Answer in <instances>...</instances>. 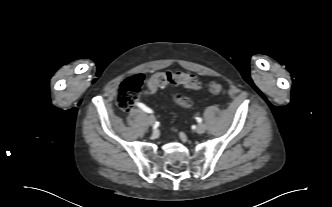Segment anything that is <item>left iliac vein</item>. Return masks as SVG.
Instances as JSON below:
<instances>
[{"label": "left iliac vein", "mask_w": 332, "mask_h": 207, "mask_svg": "<svg viewBox=\"0 0 332 207\" xmlns=\"http://www.w3.org/2000/svg\"><path fill=\"white\" fill-rule=\"evenodd\" d=\"M205 130H206V126L203 123H199L196 127V132L199 133V134L204 133Z\"/></svg>", "instance_id": "1"}]
</instances>
